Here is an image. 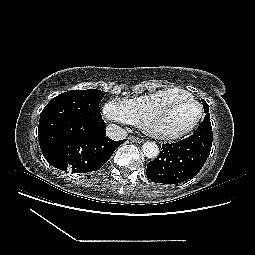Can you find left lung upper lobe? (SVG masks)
<instances>
[{
	"label": "left lung upper lobe",
	"instance_id": "1",
	"mask_svg": "<svg viewBox=\"0 0 255 255\" xmlns=\"http://www.w3.org/2000/svg\"><path fill=\"white\" fill-rule=\"evenodd\" d=\"M202 103H203V106H204V111H205V112H208V111H209V106H208V104H207L206 101L203 100V99H202Z\"/></svg>",
	"mask_w": 255,
	"mask_h": 255
}]
</instances>
